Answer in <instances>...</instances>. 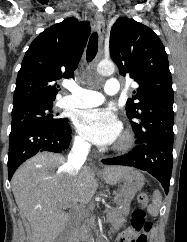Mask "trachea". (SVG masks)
I'll list each match as a JSON object with an SVG mask.
<instances>
[{
    "label": "trachea",
    "instance_id": "obj_1",
    "mask_svg": "<svg viewBox=\"0 0 187 242\" xmlns=\"http://www.w3.org/2000/svg\"><path fill=\"white\" fill-rule=\"evenodd\" d=\"M98 51V35L97 33H93L89 39L87 46V62H91Z\"/></svg>",
    "mask_w": 187,
    "mask_h": 242
}]
</instances>
